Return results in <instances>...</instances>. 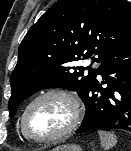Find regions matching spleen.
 <instances>
[{"label": "spleen", "instance_id": "3e777b00", "mask_svg": "<svg viewBox=\"0 0 131 151\" xmlns=\"http://www.w3.org/2000/svg\"><path fill=\"white\" fill-rule=\"evenodd\" d=\"M98 134L104 151H108L110 148L116 145L117 137L115 134L103 130H98Z\"/></svg>", "mask_w": 131, "mask_h": 151}]
</instances>
